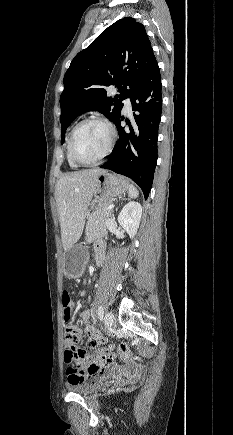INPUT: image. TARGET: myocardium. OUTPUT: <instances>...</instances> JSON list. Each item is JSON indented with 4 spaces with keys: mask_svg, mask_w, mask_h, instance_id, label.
Segmentation results:
<instances>
[{
    "mask_svg": "<svg viewBox=\"0 0 233 435\" xmlns=\"http://www.w3.org/2000/svg\"><path fill=\"white\" fill-rule=\"evenodd\" d=\"M88 123H98L103 125L107 130H108V134H109V139H108V143L107 146L105 148V150L103 151V153L94 161L91 162H84L82 160H80L75 152V148H74V138H75V134L78 131V129ZM116 138V133L114 128L112 127V125L105 120L104 118L101 117H89V118H85L81 121H79L72 129L70 136H69V143H68V148H69V155L71 157V159L73 160V162L80 167H91V166H95L98 165L101 161H103L111 152L112 146L114 144Z\"/></svg>",
    "mask_w": 233,
    "mask_h": 435,
    "instance_id": "1",
    "label": "myocardium"
}]
</instances>
